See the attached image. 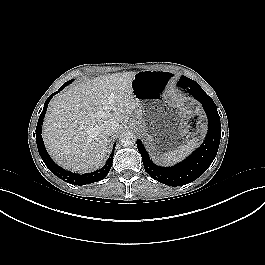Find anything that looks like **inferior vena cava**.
Here are the masks:
<instances>
[{"label": "inferior vena cava", "instance_id": "602c4592", "mask_svg": "<svg viewBox=\"0 0 265 265\" xmlns=\"http://www.w3.org/2000/svg\"><path fill=\"white\" fill-rule=\"evenodd\" d=\"M116 130V124L112 120L104 121V123L101 126V131L105 135H111L115 132Z\"/></svg>", "mask_w": 265, "mask_h": 265}]
</instances>
